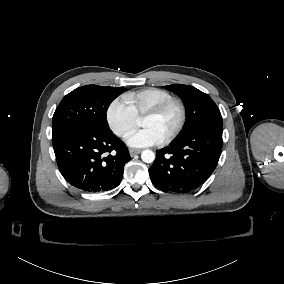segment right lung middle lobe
Listing matches in <instances>:
<instances>
[{
    "mask_svg": "<svg viewBox=\"0 0 284 284\" xmlns=\"http://www.w3.org/2000/svg\"><path fill=\"white\" fill-rule=\"evenodd\" d=\"M124 87L86 85L67 94L55 110L52 137L73 127L109 129L106 111Z\"/></svg>",
    "mask_w": 284,
    "mask_h": 284,
    "instance_id": "1",
    "label": "right lung middle lobe"
}]
</instances>
